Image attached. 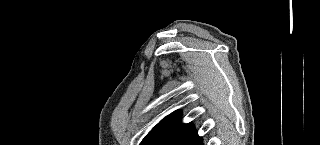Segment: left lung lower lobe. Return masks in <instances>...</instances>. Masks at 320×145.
Returning <instances> with one entry per match:
<instances>
[{"label": "left lung lower lobe", "instance_id": "1", "mask_svg": "<svg viewBox=\"0 0 320 145\" xmlns=\"http://www.w3.org/2000/svg\"><path fill=\"white\" fill-rule=\"evenodd\" d=\"M180 145H203L202 138L197 135L196 131L189 134Z\"/></svg>", "mask_w": 320, "mask_h": 145}]
</instances>
